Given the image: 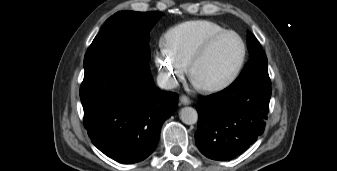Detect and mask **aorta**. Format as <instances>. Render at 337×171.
I'll list each match as a JSON object with an SVG mask.
<instances>
[{
	"label": "aorta",
	"mask_w": 337,
	"mask_h": 171,
	"mask_svg": "<svg viewBox=\"0 0 337 171\" xmlns=\"http://www.w3.org/2000/svg\"><path fill=\"white\" fill-rule=\"evenodd\" d=\"M180 119L184 124L192 125L198 121V113L192 107H184L180 111Z\"/></svg>",
	"instance_id": "obj_1"
}]
</instances>
